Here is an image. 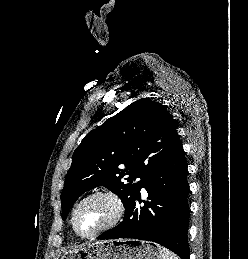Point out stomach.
<instances>
[{"label":"stomach","instance_id":"0dacf381","mask_svg":"<svg viewBox=\"0 0 248 259\" xmlns=\"http://www.w3.org/2000/svg\"><path fill=\"white\" fill-rule=\"evenodd\" d=\"M62 259H162L161 247L135 239L104 241L74 249Z\"/></svg>","mask_w":248,"mask_h":259}]
</instances>
